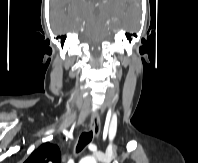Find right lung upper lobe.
<instances>
[{"label": "right lung upper lobe", "instance_id": "right-lung-upper-lobe-1", "mask_svg": "<svg viewBox=\"0 0 198 163\" xmlns=\"http://www.w3.org/2000/svg\"><path fill=\"white\" fill-rule=\"evenodd\" d=\"M60 149L50 142L42 144L24 163H60Z\"/></svg>", "mask_w": 198, "mask_h": 163}]
</instances>
